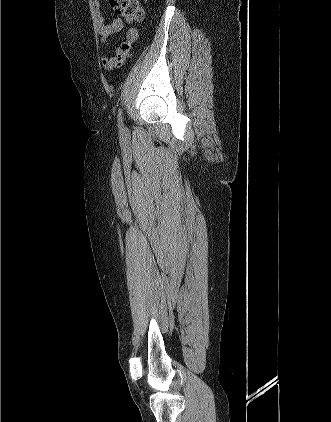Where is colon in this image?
<instances>
[{"instance_id": "colon-1", "label": "colon", "mask_w": 331, "mask_h": 422, "mask_svg": "<svg viewBox=\"0 0 331 422\" xmlns=\"http://www.w3.org/2000/svg\"><path fill=\"white\" fill-rule=\"evenodd\" d=\"M113 10L127 22H138L143 19V10L139 0H109Z\"/></svg>"}]
</instances>
